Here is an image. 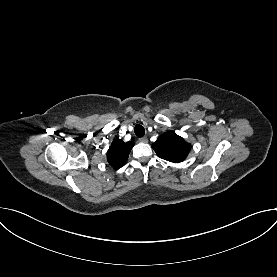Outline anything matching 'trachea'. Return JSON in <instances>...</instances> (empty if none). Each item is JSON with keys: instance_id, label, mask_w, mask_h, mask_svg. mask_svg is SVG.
Instances as JSON below:
<instances>
[{"instance_id": "obj_1", "label": "trachea", "mask_w": 277, "mask_h": 277, "mask_svg": "<svg viewBox=\"0 0 277 277\" xmlns=\"http://www.w3.org/2000/svg\"><path fill=\"white\" fill-rule=\"evenodd\" d=\"M134 132L137 137H143L145 135V129L142 125L137 124L134 128Z\"/></svg>"}]
</instances>
